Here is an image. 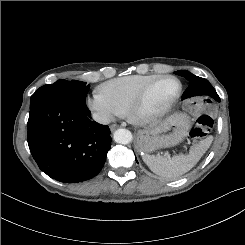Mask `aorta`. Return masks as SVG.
<instances>
[{
	"label": "aorta",
	"instance_id": "1",
	"mask_svg": "<svg viewBox=\"0 0 245 245\" xmlns=\"http://www.w3.org/2000/svg\"><path fill=\"white\" fill-rule=\"evenodd\" d=\"M114 141L120 144H129L132 141V133L127 129H118L113 134Z\"/></svg>",
	"mask_w": 245,
	"mask_h": 245
}]
</instances>
